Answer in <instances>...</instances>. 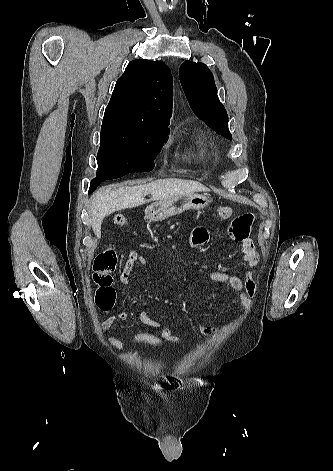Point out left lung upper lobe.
Masks as SVG:
<instances>
[{"label":"left lung upper lobe","mask_w":333,"mask_h":471,"mask_svg":"<svg viewBox=\"0 0 333 471\" xmlns=\"http://www.w3.org/2000/svg\"><path fill=\"white\" fill-rule=\"evenodd\" d=\"M179 78L194 113L218 134L232 139L228 129V115L219 101L214 77L203 63L185 61Z\"/></svg>","instance_id":"left-lung-upper-lobe-1"}]
</instances>
